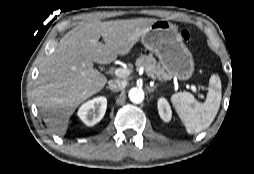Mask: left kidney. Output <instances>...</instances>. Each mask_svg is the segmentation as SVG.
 Listing matches in <instances>:
<instances>
[{
	"instance_id": "1",
	"label": "left kidney",
	"mask_w": 254,
	"mask_h": 174,
	"mask_svg": "<svg viewBox=\"0 0 254 174\" xmlns=\"http://www.w3.org/2000/svg\"><path fill=\"white\" fill-rule=\"evenodd\" d=\"M158 112L163 121L169 122L171 120V107L165 98H160L158 100Z\"/></svg>"
}]
</instances>
